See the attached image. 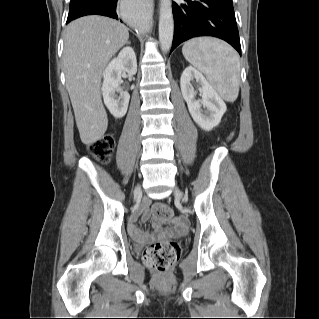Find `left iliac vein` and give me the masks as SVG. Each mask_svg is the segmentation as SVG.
<instances>
[{"label": "left iliac vein", "instance_id": "obj_1", "mask_svg": "<svg viewBox=\"0 0 319 319\" xmlns=\"http://www.w3.org/2000/svg\"><path fill=\"white\" fill-rule=\"evenodd\" d=\"M174 194L176 198L185 200V198L183 197V193L177 187L174 190Z\"/></svg>", "mask_w": 319, "mask_h": 319}]
</instances>
